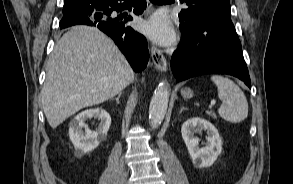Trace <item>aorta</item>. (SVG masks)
Segmentation results:
<instances>
[{
    "instance_id": "1",
    "label": "aorta",
    "mask_w": 293,
    "mask_h": 184,
    "mask_svg": "<svg viewBox=\"0 0 293 184\" xmlns=\"http://www.w3.org/2000/svg\"><path fill=\"white\" fill-rule=\"evenodd\" d=\"M169 84L161 82L156 88L149 106V121L152 129H156L163 121L169 101Z\"/></svg>"
}]
</instances>
